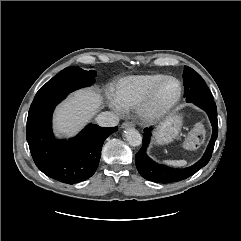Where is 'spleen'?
Returning a JSON list of instances; mask_svg holds the SVG:
<instances>
[{"label":"spleen","instance_id":"1","mask_svg":"<svg viewBox=\"0 0 241 241\" xmlns=\"http://www.w3.org/2000/svg\"><path fill=\"white\" fill-rule=\"evenodd\" d=\"M165 163L172 165V166H177V167H182L187 164V162L185 160H168V161H165Z\"/></svg>","mask_w":241,"mask_h":241}]
</instances>
